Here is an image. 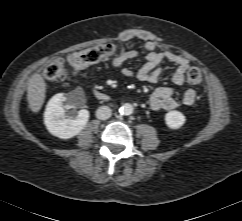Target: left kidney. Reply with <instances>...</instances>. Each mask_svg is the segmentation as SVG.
Here are the masks:
<instances>
[{
	"label": "left kidney",
	"mask_w": 242,
	"mask_h": 221,
	"mask_svg": "<svg viewBox=\"0 0 242 221\" xmlns=\"http://www.w3.org/2000/svg\"><path fill=\"white\" fill-rule=\"evenodd\" d=\"M185 121H186L185 116L177 110L169 111L165 115L166 125L170 129H179L184 125Z\"/></svg>",
	"instance_id": "left-kidney-1"
}]
</instances>
